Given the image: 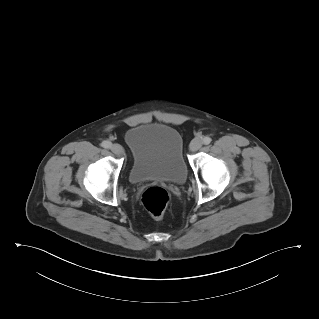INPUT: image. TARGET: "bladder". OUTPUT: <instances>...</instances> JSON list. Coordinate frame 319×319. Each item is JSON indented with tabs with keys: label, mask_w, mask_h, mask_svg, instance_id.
I'll use <instances>...</instances> for the list:
<instances>
[{
	"label": "bladder",
	"mask_w": 319,
	"mask_h": 319,
	"mask_svg": "<svg viewBox=\"0 0 319 319\" xmlns=\"http://www.w3.org/2000/svg\"><path fill=\"white\" fill-rule=\"evenodd\" d=\"M124 140L131 152L132 184L161 180L180 185L186 181L183 139L176 129L163 124H142L129 129Z\"/></svg>",
	"instance_id": "bladder-1"
}]
</instances>
